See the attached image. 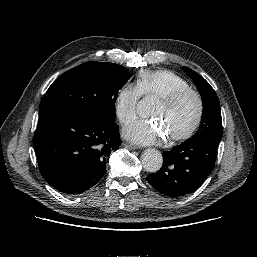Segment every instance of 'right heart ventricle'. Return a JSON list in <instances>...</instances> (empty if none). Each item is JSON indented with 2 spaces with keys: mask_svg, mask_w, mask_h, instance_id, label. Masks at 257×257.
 Masks as SVG:
<instances>
[{
  "mask_svg": "<svg viewBox=\"0 0 257 257\" xmlns=\"http://www.w3.org/2000/svg\"><path fill=\"white\" fill-rule=\"evenodd\" d=\"M137 86L142 94L160 98L173 91L188 88V82L172 71L142 70L137 74Z\"/></svg>",
  "mask_w": 257,
  "mask_h": 257,
  "instance_id": "obj_1",
  "label": "right heart ventricle"
}]
</instances>
